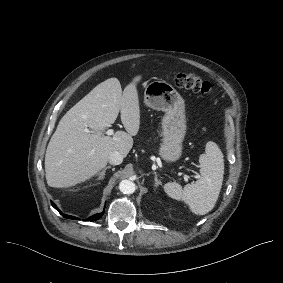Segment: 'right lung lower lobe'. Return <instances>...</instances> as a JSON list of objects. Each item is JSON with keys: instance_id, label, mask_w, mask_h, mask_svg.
Instances as JSON below:
<instances>
[{"instance_id": "right-lung-lower-lobe-1", "label": "right lung lower lobe", "mask_w": 283, "mask_h": 283, "mask_svg": "<svg viewBox=\"0 0 283 283\" xmlns=\"http://www.w3.org/2000/svg\"><path fill=\"white\" fill-rule=\"evenodd\" d=\"M51 204L60 214H62V212L57 208V206L53 202H51ZM103 213L104 212L95 214V215L91 216L90 218H88L87 220H90V221L98 220L99 218L102 217ZM62 215H63V217L68 218V219H75V220L78 219L77 217H74V216H69V215H66V214H62Z\"/></svg>"}]
</instances>
